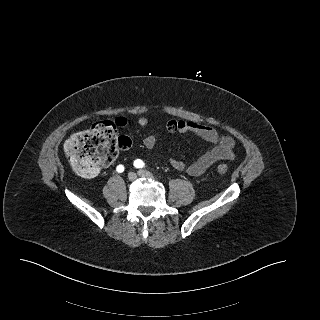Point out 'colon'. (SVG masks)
Here are the masks:
<instances>
[{"mask_svg": "<svg viewBox=\"0 0 320 320\" xmlns=\"http://www.w3.org/2000/svg\"><path fill=\"white\" fill-rule=\"evenodd\" d=\"M131 146V139L118 136L116 125L111 121L94 123L88 130L71 135L64 150L73 168L82 176L93 177L100 168L108 167L115 160L120 148ZM228 166L217 165V172L225 174Z\"/></svg>", "mask_w": 320, "mask_h": 320, "instance_id": "colon-1", "label": "colon"}]
</instances>
